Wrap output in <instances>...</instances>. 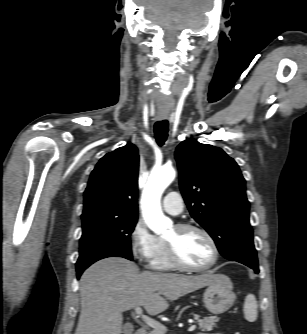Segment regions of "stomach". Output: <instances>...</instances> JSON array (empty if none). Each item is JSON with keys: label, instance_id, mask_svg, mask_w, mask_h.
Returning a JSON list of instances; mask_svg holds the SVG:
<instances>
[{"label": "stomach", "instance_id": "0dacf381", "mask_svg": "<svg viewBox=\"0 0 307 334\" xmlns=\"http://www.w3.org/2000/svg\"><path fill=\"white\" fill-rule=\"evenodd\" d=\"M215 282L208 285L203 295L205 307L212 314L218 315L229 310L235 302L233 284L224 274H214Z\"/></svg>", "mask_w": 307, "mask_h": 334}]
</instances>
